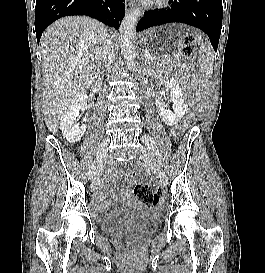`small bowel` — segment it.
<instances>
[{"label":"small bowel","mask_w":265,"mask_h":273,"mask_svg":"<svg viewBox=\"0 0 265 273\" xmlns=\"http://www.w3.org/2000/svg\"><path fill=\"white\" fill-rule=\"evenodd\" d=\"M126 191L124 190L123 193H125ZM95 205L99 208L104 207V200L103 197L100 194H97L96 198H95Z\"/></svg>","instance_id":"small-bowel-1"}]
</instances>
